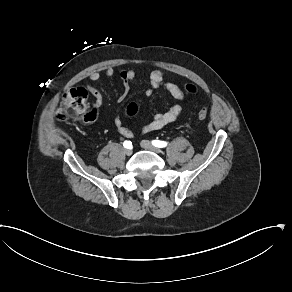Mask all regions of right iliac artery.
Returning a JSON list of instances; mask_svg holds the SVG:
<instances>
[{"instance_id":"1","label":"right iliac artery","mask_w":292,"mask_h":292,"mask_svg":"<svg viewBox=\"0 0 292 292\" xmlns=\"http://www.w3.org/2000/svg\"><path fill=\"white\" fill-rule=\"evenodd\" d=\"M123 146H124L125 148H130V147L132 146V143H131V141H129V140H125L124 143H123Z\"/></svg>"}]
</instances>
